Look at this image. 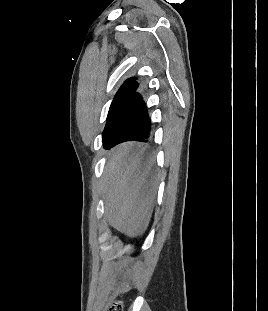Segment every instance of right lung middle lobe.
Here are the masks:
<instances>
[{
	"label": "right lung middle lobe",
	"instance_id": "obj_1",
	"mask_svg": "<svg viewBox=\"0 0 268 311\" xmlns=\"http://www.w3.org/2000/svg\"><path fill=\"white\" fill-rule=\"evenodd\" d=\"M135 89L136 88H123L118 90L110 106L102 138L109 132V130L119 119L126 105L130 101Z\"/></svg>",
	"mask_w": 268,
	"mask_h": 311
}]
</instances>
